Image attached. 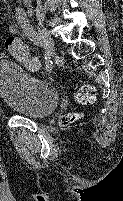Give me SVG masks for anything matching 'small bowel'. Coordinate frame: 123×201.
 <instances>
[{
  "instance_id": "1",
  "label": "small bowel",
  "mask_w": 123,
  "mask_h": 201,
  "mask_svg": "<svg viewBox=\"0 0 123 201\" xmlns=\"http://www.w3.org/2000/svg\"><path fill=\"white\" fill-rule=\"evenodd\" d=\"M8 32L11 35L17 34V32H18L17 25L14 23L9 24ZM0 40H1V36H0ZM0 59H7L6 55L2 52V46L1 45H0ZM37 62H38V60H37ZM37 68H38V66L34 70H36Z\"/></svg>"
}]
</instances>
